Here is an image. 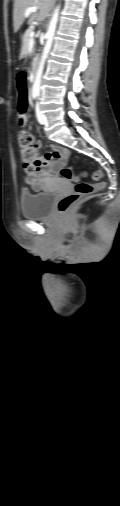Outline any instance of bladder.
I'll list each match as a JSON object with an SVG mask.
<instances>
[{"instance_id": "31cf9c89", "label": "bladder", "mask_w": 120, "mask_h": 506, "mask_svg": "<svg viewBox=\"0 0 120 506\" xmlns=\"http://www.w3.org/2000/svg\"><path fill=\"white\" fill-rule=\"evenodd\" d=\"M55 199L54 191L22 192L19 196L21 213L29 219H43L49 216Z\"/></svg>"}]
</instances>
